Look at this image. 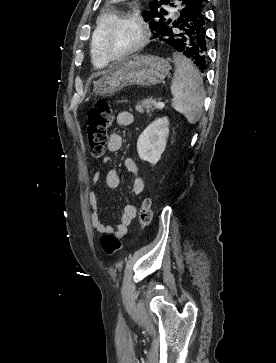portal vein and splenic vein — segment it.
Instances as JSON below:
<instances>
[{
	"label": "portal vein and splenic vein",
	"mask_w": 276,
	"mask_h": 363,
	"mask_svg": "<svg viewBox=\"0 0 276 363\" xmlns=\"http://www.w3.org/2000/svg\"><path fill=\"white\" fill-rule=\"evenodd\" d=\"M159 108H164V106H165V103L164 102H162V101H160V102H158L157 104H156Z\"/></svg>",
	"instance_id": "obj_1"
}]
</instances>
